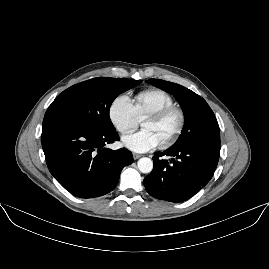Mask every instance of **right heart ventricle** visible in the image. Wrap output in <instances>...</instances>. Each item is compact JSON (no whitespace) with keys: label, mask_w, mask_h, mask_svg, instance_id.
<instances>
[{"label":"right heart ventricle","mask_w":269,"mask_h":269,"mask_svg":"<svg viewBox=\"0 0 269 269\" xmlns=\"http://www.w3.org/2000/svg\"><path fill=\"white\" fill-rule=\"evenodd\" d=\"M174 105L173 97L161 89H152L138 94L133 101V107L139 120L149 113L164 107Z\"/></svg>","instance_id":"e07e8e85"}]
</instances>
